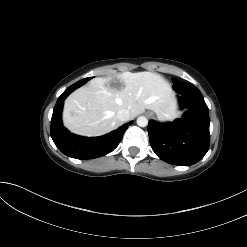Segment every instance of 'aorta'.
Returning <instances> with one entry per match:
<instances>
[{
  "instance_id": "762f6f07",
  "label": "aorta",
  "mask_w": 247,
  "mask_h": 247,
  "mask_svg": "<svg viewBox=\"0 0 247 247\" xmlns=\"http://www.w3.org/2000/svg\"><path fill=\"white\" fill-rule=\"evenodd\" d=\"M137 125L140 127H146L148 125V119L144 116L138 117Z\"/></svg>"
}]
</instances>
